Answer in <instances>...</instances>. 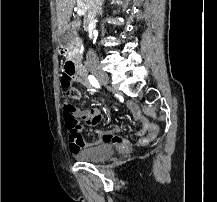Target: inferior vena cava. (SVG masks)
<instances>
[{"label": "inferior vena cava", "mask_w": 217, "mask_h": 202, "mask_svg": "<svg viewBox=\"0 0 217 202\" xmlns=\"http://www.w3.org/2000/svg\"><path fill=\"white\" fill-rule=\"evenodd\" d=\"M99 4L100 0H87L86 24H89V22H92L93 18H95ZM88 56H95V54L94 52H88Z\"/></svg>", "instance_id": "602c4592"}]
</instances>
